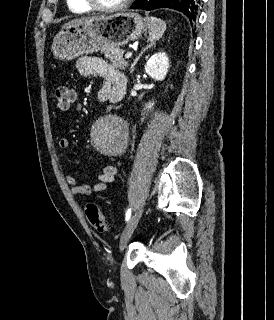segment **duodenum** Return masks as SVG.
I'll return each instance as SVG.
<instances>
[{"label": "duodenum", "mask_w": 274, "mask_h": 320, "mask_svg": "<svg viewBox=\"0 0 274 320\" xmlns=\"http://www.w3.org/2000/svg\"><path fill=\"white\" fill-rule=\"evenodd\" d=\"M98 99H99V101H101V102L107 101V95H106V93H104V92L99 93Z\"/></svg>", "instance_id": "duodenum-1"}]
</instances>
